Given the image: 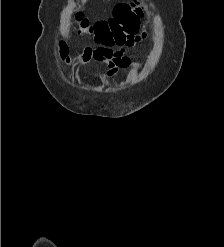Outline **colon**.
I'll list each match as a JSON object with an SVG mask.
<instances>
[{
    "instance_id": "5ec220e1",
    "label": "colon",
    "mask_w": 224,
    "mask_h": 247,
    "mask_svg": "<svg viewBox=\"0 0 224 247\" xmlns=\"http://www.w3.org/2000/svg\"><path fill=\"white\" fill-rule=\"evenodd\" d=\"M142 15V7L133 0L116 5L109 19L91 23L82 12L73 13L72 19L81 34L90 35L95 41H108L139 30Z\"/></svg>"
}]
</instances>
